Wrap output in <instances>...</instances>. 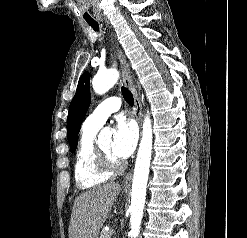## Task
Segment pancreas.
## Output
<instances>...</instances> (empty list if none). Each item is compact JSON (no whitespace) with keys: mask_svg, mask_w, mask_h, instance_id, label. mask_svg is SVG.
Listing matches in <instances>:
<instances>
[{"mask_svg":"<svg viewBox=\"0 0 247 238\" xmlns=\"http://www.w3.org/2000/svg\"><path fill=\"white\" fill-rule=\"evenodd\" d=\"M112 234L110 231H102L100 238H111Z\"/></svg>","mask_w":247,"mask_h":238,"instance_id":"obj_1","label":"pancreas"}]
</instances>
